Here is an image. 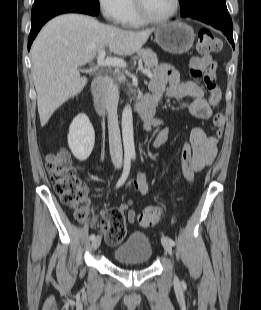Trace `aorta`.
<instances>
[{"instance_id":"obj_1","label":"aorta","mask_w":261,"mask_h":310,"mask_svg":"<svg viewBox=\"0 0 261 310\" xmlns=\"http://www.w3.org/2000/svg\"><path fill=\"white\" fill-rule=\"evenodd\" d=\"M122 137L126 156H135L132 108L126 105L122 112Z\"/></svg>"}]
</instances>
